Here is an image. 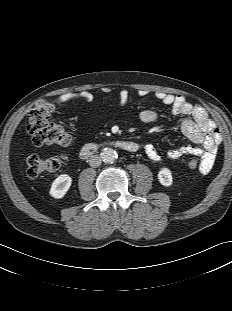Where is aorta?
<instances>
[{"mask_svg": "<svg viewBox=\"0 0 232 311\" xmlns=\"http://www.w3.org/2000/svg\"><path fill=\"white\" fill-rule=\"evenodd\" d=\"M118 155L112 148H104L101 152V158L105 163H113L117 159Z\"/></svg>", "mask_w": 232, "mask_h": 311, "instance_id": "aorta-1", "label": "aorta"}]
</instances>
